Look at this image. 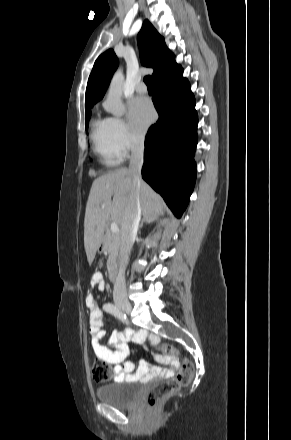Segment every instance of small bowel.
Returning a JSON list of instances; mask_svg holds the SVG:
<instances>
[{
  "label": "small bowel",
  "instance_id": "obj_1",
  "mask_svg": "<svg viewBox=\"0 0 291 440\" xmlns=\"http://www.w3.org/2000/svg\"><path fill=\"white\" fill-rule=\"evenodd\" d=\"M91 285L97 286L101 290L105 288V283L100 273H95L92 276ZM85 303L90 310L89 330L91 335V346L95 355L99 359L113 365V375L115 380L127 379L148 382L159 376L169 377L179 369V359L176 355L163 359L157 358V361L167 365V368H160L156 366L152 367L145 360H142L137 368L132 362L127 361L121 364L129 355V346L127 341L132 339L139 342L145 339L146 335L143 332L132 334L113 330L110 335V346H104L102 344V339L105 335V331L103 329V313L97 307L96 300L91 294L86 295ZM106 306L107 305H105V310ZM147 337L152 346H156L158 344L159 339L156 335L150 334Z\"/></svg>",
  "mask_w": 291,
  "mask_h": 440
}]
</instances>
